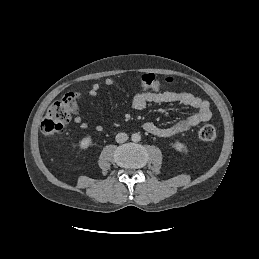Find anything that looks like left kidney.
<instances>
[{
  "label": "left kidney",
  "mask_w": 259,
  "mask_h": 259,
  "mask_svg": "<svg viewBox=\"0 0 259 259\" xmlns=\"http://www.w3.org/2000/svg\"><path fill=\"white\" fill-rule=\"evenodd\" d=\"M174 148L179 151V152H184L185 151V146L183 145V143L176 141L174 143Z\"/></svg>",
  "instance_id": "5707ae66"
}]
</instances>
